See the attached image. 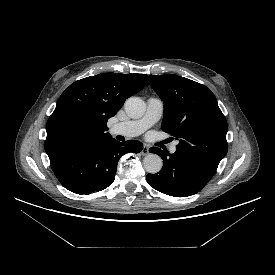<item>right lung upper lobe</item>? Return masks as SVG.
I'll use <instances>...</instances> for the list:
<instances>
[{
  "instance_id": "cb5924a9",
  "label": "right lung upper lobe",
  "mask_w": 275,
  "mask_h": 275,
  "mask_svg": "<svg viewBox=\"0 0 275 275\" xmlns=\"http://www.w3.org/2000/svg\"><path fill=\"white\" fill-rule=\"evenodd\" d=\"M147 80L145 74L101 73L72 83L47 122L48 156L110 139L108 119L127 98L141 91Z\"/></svg>"
}]
</instances>
